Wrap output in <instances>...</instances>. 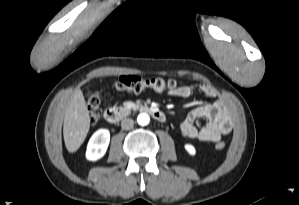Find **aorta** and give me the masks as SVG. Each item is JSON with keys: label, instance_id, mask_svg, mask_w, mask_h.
<instances>
[{"label": "aorta", "instance_id": "1", "mask_svg": "<svg viewBox=\"0 0 299 205\" xmlns=\"http://www.w3.org/2000/svg\"><path fill=\"white\" fill-rule=\"evenodd\" d=\"M150 117L147 113H140L137 117V122L141 126H145L149 123Z\"/></svg>", "mask_w": 299, "mask_h": 205}]
</instances>
